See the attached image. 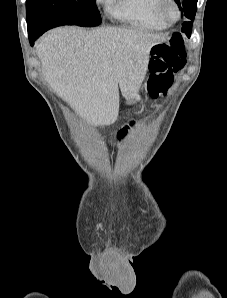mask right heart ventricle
<instances>
[{"mask_svg": "<svg viewBox=\"0 0 227 298\" xmlns=\"http://www.w3.org/2000/svg\"><path fill=\"white\" fill-rule=\"evenodd\" d=\"M157 0H106L107 11L137 29L159 31L168 27L155 13Z\"/></svg>", "mask_w": 227, "mask_h": 298, "instance_id": "1", "label": "right heart ventricle"}]
</instances>
